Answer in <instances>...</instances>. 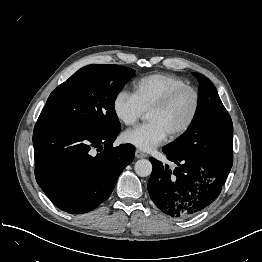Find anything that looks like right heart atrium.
<instances>
[{
    "label": "right heart atrium",
    "instance_id": "d8ad5b80",
    "mask_svg": "<svg viewBox=\"0 0 262 262\" xmlns=\"http://www.w3.org/2000/svg\"><path fill=\"white\" fill-rule=\"evenodd\" d=\"M116 118L124 125H134L144 114V110L135 95L127 90H120L113 100Z\"/></svg>",
    "mask_w": 262,
    "mask_h": 262
}]
</instances>
